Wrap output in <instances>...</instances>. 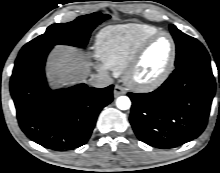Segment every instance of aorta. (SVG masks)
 I'll return each mask as SVG.
<instances>
[{"mask_svg": "<svg viewBox=\"0 0 220 173\" xmlns=\"http://www.w3.org/2000/svg\"><path fill=\"white\" fill-rule=\"evenodd\" d=\"M116 106L120 110H128L131 107V101L127 96H120L116 100Z\"/></svg>", "mask_w": 220, "mask_h": 173, "instance_id": "obj_1", "label": "aorta"}]
</instances>
